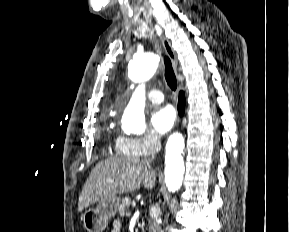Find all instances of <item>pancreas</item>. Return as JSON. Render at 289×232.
Instances as JSON below:
<instances>
[{
	"label": "pancreas",
	"mask_w": 289,
	"mask_h": 232,
	"mask_svg": "<svg viewBox=\"0 0 289 232\" xmlns=\"http://www.w3.org/2000/svg\"><path fill=\"white\" fill-rule=\"evenodd\" d=\"M130 205H131V199L129 197H125L124 199H122V202L118 208L120 216L125 215Z\"/></svg>",
	"instance_id": "pancreas-1"
}]
</instances>
